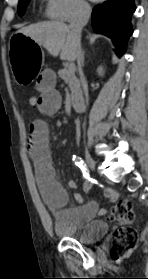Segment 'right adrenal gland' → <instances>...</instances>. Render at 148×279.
Returning a JSON list of instances; mask_svg holds the SVG:
<instances>
[{
	"mask_svg": "<svg viewBox=\"0 0 148 279\" xmlns=\"http://www.w3.org/2000/svg\"><path fill=\"white\" fill-rule=\"evenodd\" d=\"M84 54H85V52L82 51V55H81V64H82V66H84Z\"/></svg>",
	"mask_w": 148,
	"mask_h": 279,
	"instance_id": "2a0ac1e0",
	"label": "right adrenal gland"
}]
</instances>
